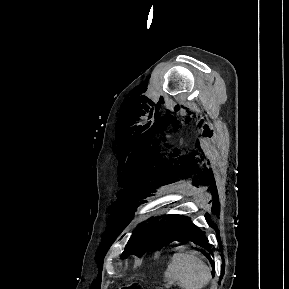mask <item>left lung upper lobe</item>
Segmentation results:
<instances>
[{"mask_svg": "<svg viewBox=\"0 0 289 289\" xmlns=\"http://www.w3.org/2000/svg\"><path fill=\"white\" fill-rule=\"evenodd\" d=\"M150 223H141L134 231V237H131L125 247L121 258H126L130 254L141 257L148 249H160L167 243V224L166 219L159 217L151 218Z\"/></svg>", "mask_w": 289, "mask_h": 289, "instance_id": "left-lung-upper-lobe-1", "label": "left lung upper lobe"}]
</instances>
